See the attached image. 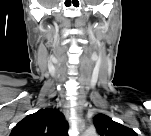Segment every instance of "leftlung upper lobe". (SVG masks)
<instances>
[{
    "label": "left lung upper lobe",
    "instance_id": "1",
    "mask_svg": "<svg viewBox=\"0 0 151 136\" xmlns=\"http://www.w3.org/2000/svg\"><path fill=\"white\" fill-rule=\"evenodd\" d=\"M93 123L100 136H135V132L123 126L104 114L94 117Z\"/></svg>",
    "mask_w": 151,
    "mask_h": 136
}]
</instances>
